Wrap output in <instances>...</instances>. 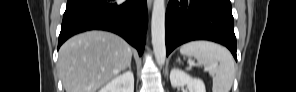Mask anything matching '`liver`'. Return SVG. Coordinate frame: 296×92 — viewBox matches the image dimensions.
<instances>
[{
    "mask_svg": "<svg viewBox=\"0 0 296 92\" xmlns=\"http://www.w3.org/2000/svg\"><path fill=\"white\" fill-rule=\"evenodd\" d=\"M128 43L113 33L88 31L59 50L58 72L66 92H96L131 62Z\"/></svg>",
    "mask_w": 296,
    "mask_h": 92,
    "instance_id": "liver-1",
    "label": "liver"
}]
</instances>
